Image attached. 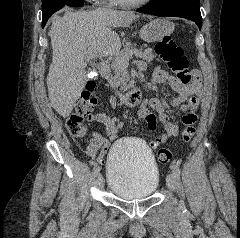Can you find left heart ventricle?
Wrapping results in <instances>:
<instances>
[{
	"instance_id": "b2bd125f",
	"label": "left heart ventricle",
	"mask_w": 240,
	"mask_h": 238,
	"mask_svg": "<svg viewBox=\"0 0 240 238\" xmlns=\"http://www.w3.org/2000/svg\"><path fill=\"white\" fill-rule=\"evenodd\" d=\"M123 1L134 2V1H139V0H123Z\"/></svg>"
}]
</instances>
